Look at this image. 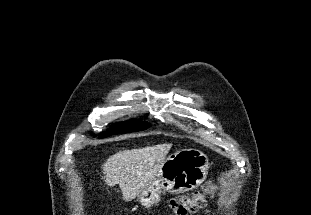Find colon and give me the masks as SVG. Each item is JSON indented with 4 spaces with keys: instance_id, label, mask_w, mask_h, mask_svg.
<instances>
[{
    "instance_id": "obj_1",
    "label": "colon",
    "mask_w": 311,
    "mask_h": 215,
    "mask_svg": "<svg viewBox=\"0 0 311 215\" xmlns=\"http://www.w3.org/2000/svg\"><path fill=\"white\" fill-rule=\"evenodd\" d=\"M216 192L214 186H209L205 192L195 193L191 197L174 199L170 202V215H191L201 209L207 199L212 197Z\"/></svg>"
}]
</instances>
